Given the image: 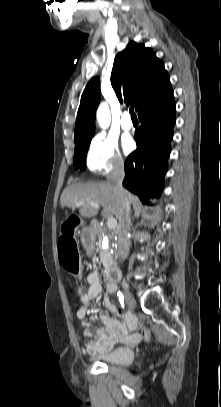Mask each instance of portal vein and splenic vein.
<instances>
[{
    "label": "portal vein and splenic vein",
    "instance_id": "obj_1",
    "mask_svg": "<svg viewBox=\"0 0 221 407\" xmlns=\"http://www.w3.org/2000/svg\"><path fill=\"white\" fill-rule=\"evenodd\" d=\"M92 207H94V208H96V209H99L100 208V206H99V204L98 203H96V202H92V201H90V202H88ZM83 204V202H77L76 203V206L78 207V206H81ZM107 226H108V228L109 229H115L116 227H117V220L114 218V217H109L108 219H107Z\"/></svg>",
    "mask_w": 221,
    "mask_h": 407
}]
</instances>
